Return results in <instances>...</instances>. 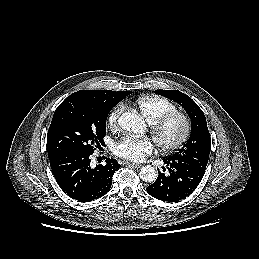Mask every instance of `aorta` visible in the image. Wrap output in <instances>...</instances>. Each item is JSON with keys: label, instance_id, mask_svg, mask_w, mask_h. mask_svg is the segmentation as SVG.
<instances>
[{"label": "aorta", "instance_id": "1", "mask_svg": "<svg viewBox=\"0 0 259 259\" xmlns=\"http://www.w3.org/2000/svg\"><path fill=\"white\" fill-rule=\"evenodd\" d=\"M119 126L128 132L143 134L146 130V124L143 118L136 111L124 112L118 119ZM140 178L145 182H154L158 173L151 165L143 166L139 172Z\"/></svg>", "mask_w": 259, "mask_h": 259}]
</instances>
